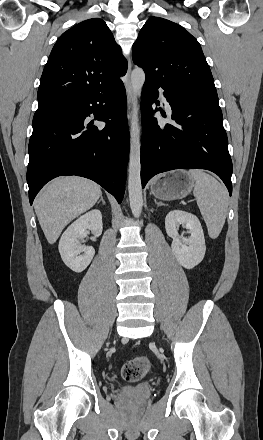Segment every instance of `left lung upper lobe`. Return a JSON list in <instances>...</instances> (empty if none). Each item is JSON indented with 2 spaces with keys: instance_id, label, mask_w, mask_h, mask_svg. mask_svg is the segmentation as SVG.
<instances>
[{
  "instance_id": "left-lung-upper-lobe-1",
  "label": "left lung upper lobe",
  "mask_w": 263,
  "mask_h": 440,
  "mask_svg": "<svg viewBox=\"0 0 263 440\" xmlns=\"http://www.w3.org/2000/svg\"><path fill=\"white\" fill-rule=\"evenodd\" d=\"M146 80L170 85L189 97L218 100L209 65L198 41L183 27L151 17L132 48Z\"/></svg>"
}]
</instances>
